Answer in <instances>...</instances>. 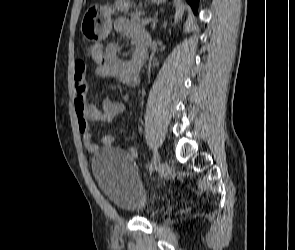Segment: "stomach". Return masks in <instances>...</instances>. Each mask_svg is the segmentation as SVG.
<instances>
[{"instance_id": "0dacf381", "label": "stomach", "mask_w": 295, "mask_h": 250, "mask_svg": "<svg viewBox=\"0 0 295 250\" xmlns=\"http://www.w3.org/2000/svg\"><path fill=\"white\" fill-rule=\"evenodd\" d=\"M166 0H152L161 4ZM131 7L129 0H116L113 5L93 4L88 7L81 21V32L90 41L105 39L112 29V15L116 11H128Z\"/></svg>"}]
</instances>
